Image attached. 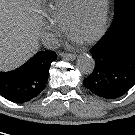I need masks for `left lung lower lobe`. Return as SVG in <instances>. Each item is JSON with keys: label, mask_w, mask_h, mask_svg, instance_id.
Instances as JSON below:
<instances>
[{"label": "left lung lower lobe", "mask_w": 135, "mask_h": 135, "mask_svg": "<svg viewBox=\"0 0 135 135\" xmlns=\"http://www.w3.org/2000/svg\"><path fill=\"white\" fill-rule=\"evenodd\" d=\"M95 68L84 86L95 95L116 99L135 84V12L113 21L92 49Z\"/></svg>", "instance_id": "1"}]
</instances>
